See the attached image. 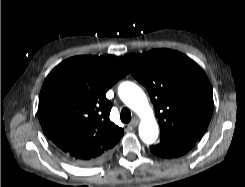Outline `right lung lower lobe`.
<instances>
[{
  "label": "right lung lower lobe",
  "instance_id": "obj_1",
  "mask_svg": "<svg viewBox=\"0 0 245 187\" xmlns=\"http://www.w3.org/2000/svg\"><path fill=\"white\" fill-rule=\"evenodd\" d=\"M110 153H111V151L108 153H105L101 157L96 158V159L91 160V161H71V162L76 164V165H79V166H90V165H94V164H97V163L103 161L105 158H107L110 155Z\"/></svg>",
  "mask_w": 245,
  "mask_h": 187
}]
</instances>
